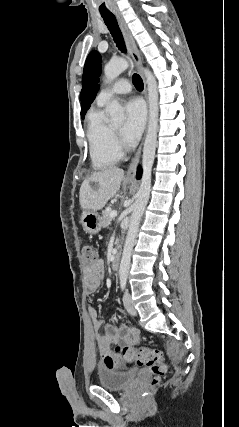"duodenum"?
<instances>
[{
	"label": "duodenum",
	"instance_id": "1",
	"mask_svg": "<svg viewBox=\"0 0 239 427\" xmlns=\"http://www.w3.org/2000/svg\"><path fill=\"white\" fill-rule=\"evenodd\" d=\"M111 266L114 271H118L120 266V253L118 251H115L113 255Z\"/></svg>",
	"mask_w": 239,
	"mask_h": 427
}]
</instances>
